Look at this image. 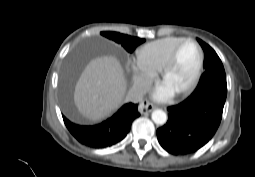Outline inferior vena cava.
<instances>
[{
    "mask_svg": "<svg viewBox=\"0 0 255 177\" xmlns=\"http://www.w3.org/2000/svg\"><path fill=\"white\" fill-rule=\"evenodd\" d=\"M148 86L145 83H139L133 85L127 95H126V100L133 102V103H138L142 101L144 94L147 92Z\"/></svg>",
    "mask_w": 255,
    "mask_h": 177,
    "instance_id": "1",
    "label": "inferior vena cava"
}]
</instances>
